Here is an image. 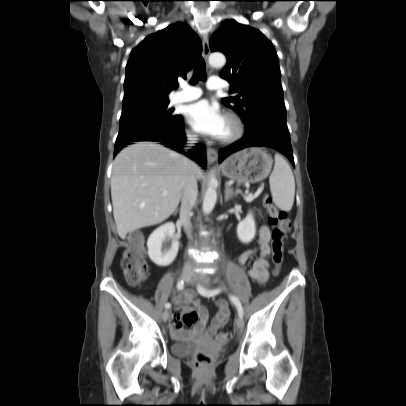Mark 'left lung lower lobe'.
<instances>
[{
    "mask_svg": "<svg viewBox=\"0 0 406 406\" xmlns=\"http://www.w3.org/2000/svg\"><path fill=\"white\" fill-rule=\"evenodd\" d=\"M259 145L283 153L295 166L287 125L272 120L255 121L247 125L242 139L219 151V162L243 148Z\"/></svg>",
    "mask_w": 406,
    "mask_h": 406,
    "instance_id": "1",
    "label": "left lung lower lobe"
}]
</instances>
